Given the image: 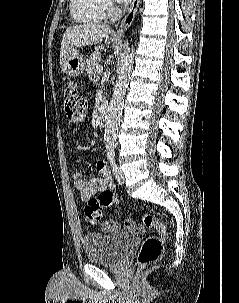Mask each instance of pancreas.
<instances>
[{
	"label": "pancreas",
	"instance_id": "pancreas-1",
	"mask_svg": "<svg viewBox=\"0 0 239 303\" xmlns=\"http://www.w3.org/2000/svg\"><path fill=\"white\" fill-rule=\"evenodd\" d=\"M101 57L99 51H94L87 59H86V72L90 76L97 75V66L100 65Z\"/></svg>",
	"mask_w": 239,
	"mask_h": 303
}]
</instances>
